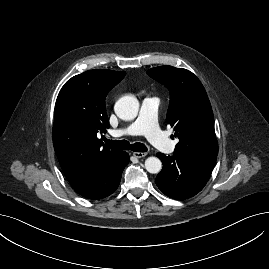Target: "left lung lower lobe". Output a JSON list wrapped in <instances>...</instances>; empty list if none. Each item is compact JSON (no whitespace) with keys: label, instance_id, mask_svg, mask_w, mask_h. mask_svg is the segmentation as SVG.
Instances as JSON below:
<instances>
[{"label":"left lung lower lobe","instance_id":"0a47b994","mask_svg":"<svg viewBox=\"0 0 269 269\" xmlns=\"http://www.w3.org/2000/svg\"><path fill=\"white\" fill-rule=\"evenodd\" d=\"M163 163L156 177L158 188L168 197L183 200L200 192L214 168L217 155L177 149L172 157L158 153Z\"/></svg>","mask_w":269,"mask_h":269}]
</instances>
